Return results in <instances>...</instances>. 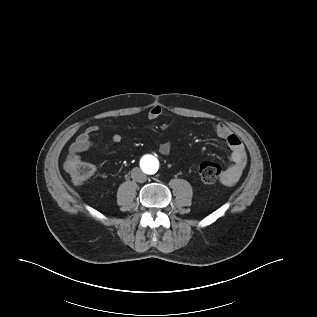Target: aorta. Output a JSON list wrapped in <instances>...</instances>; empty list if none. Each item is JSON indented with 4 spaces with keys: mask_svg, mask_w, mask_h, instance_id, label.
Listing matches in <instances>:
<instances>
[{
    "mask_svg": "<svg viewBox=\"0 0 317 317\" xmlns=\"http://www.w3.org/2000/svg\"><path fill=\"white\" fill-rule=\"evenodd\" d=\"M153 160V163H152V166L148 168V172L150 174H154L156 171H157V165H158V161L156 158H152Z\"/></svg>",
    "mask_w": 317,
    "mask_h": 317,
    "instance_id": "obj_1",
    "label": "aorta"
}]
</instances>
